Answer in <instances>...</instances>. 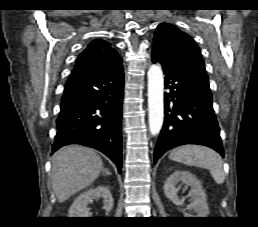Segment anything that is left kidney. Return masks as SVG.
<instances>
[{
    "instance_id": "left-kidney-1",
    "label": "left kidney",
    "mask_w": 258,
    "mask_h": 227,
    "mask_svg": "<svg viewBox=\"0 0 258 227\" xmlns=\"http://www.w3.org/2000/svg\"><path fill=\"white\" fill-rule=\"evenodd\" d=\"M179 182L191 187L188 194V196L191 197V202L186 206V209H184V216L207 217L209 208L206 203V194L202 188L201 181L188 171L177 170L167 178L164 184V193L166 197L177 206L184 205V198H179L178 188H176V185ZM193 213L197 215H192Z\"/></svg>"
}]
</instances>
